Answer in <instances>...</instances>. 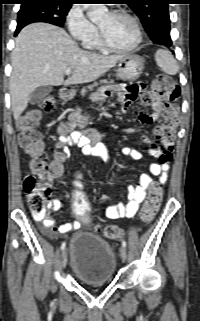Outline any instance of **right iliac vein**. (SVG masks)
<instances>
[{"instance_id": "63e3f726", "label": "right iliac vein", "mask_w": 200, "mask_h": 321, "mask_svg": "<svg viewBox=\"0 0 200 321\" xmlns=\"http://www.w3.org/2000/svg\"><path fill=\"white\" fill-rule=\"evenodd\" d=\"M66 262H67V252H66V250H64V251L62 252V268L65 267Z\"/></svg>"}]
</instances>
